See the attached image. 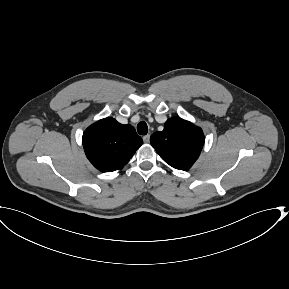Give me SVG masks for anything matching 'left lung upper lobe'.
<instances>
[{
  "label": "left lung upper lobe",
  "instance_id": "1",
  "mask_svg": "<svg viewBox=\"0 0 289 289\" xmlns=\"http://www.w3.org/2000/svg\"><path fill=\"white\" fill-rule=\"evenodd\" d=\"M150 142L167 164L186 171L200 155L204 134L191 122L173 117L166 121L163 131L151 136Z\"/></svg>",
  "mask_w": 289,
  "mask_h": 289
}]
</instances>
